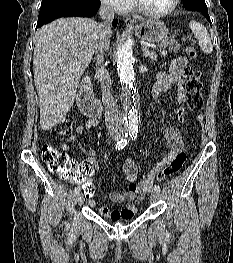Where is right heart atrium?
I'll return each mask as SVG.
<instances>
[{"label":"right heart atrium","instance_id":"obj_1","mask_svg":"<svg viewBox=\"0 0 233 263\" xmlns=\"http://www.w3.org/2000/svg\"><path fill=\"white\" fill-rule=\"evenodd\" d=\"M110 9L117 13H123L130 7V0H101Z\"/></svg>","mask_w":233,"mask_h":263}]
</instances>
